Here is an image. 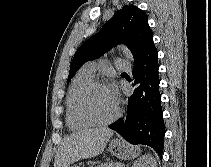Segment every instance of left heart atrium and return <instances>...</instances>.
I'll list each match as a JSON object with an SVG mask.
<instances>
[{"label":"left heart atrium","mask_w":211,"mask_h":167,"mask_svg":"<svg viewBox=\"0 0 211 167\" xmlns=\"http://www.w3.org/2000/svg\"><path fill=\"white\" fill-rule=\"evenodd\" d=\"M108 90L111 93V95L114 98V100L116 101V92H115V89L112 87V88H109Z\"/></svg>","instance_id":"39dd6f15"}]
</instances>
